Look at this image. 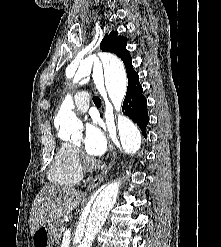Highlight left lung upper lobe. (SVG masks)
Returning <instances> with one entry per match:
<instances>
[{
	"mask_svg": "<svg viewBox=\"0 0 221 247\" xmlns=\"http://www.w3.org/2000/svg\"><path fill=\"white\" fill-rule=\"evenodd\" d=\"M127 38L123 36H118L117 32L112 31L109 35L106 34L100 43V49L102 51L111 52L116 54L123 61L127 76L128 82L138 76L132 66V58L130 53L126 50Z\"/></svg>",
	"mask_w": 221,
	"mask_h": 247,
	"instance_id": "left-lung-upper-lobe-1",
	"label": "left lung upper lobe"
}]
</instances>
